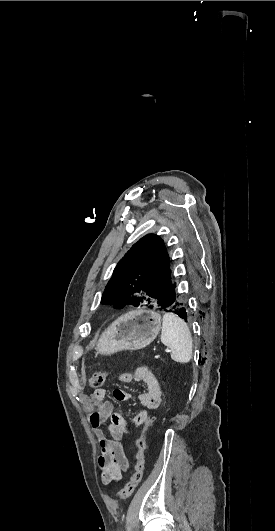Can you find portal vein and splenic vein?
<instances>
[{
    "mask_svg": "<svg viewBox=\"0 0 275 531\" xmlns=\"http://www.w3.org/2000/svg\"><path fill=\"white\" fill-rule=\"evenodd\" d=\"M165 353H171V350H169V348H165Z\"/></svg>",
    "mask_w": 275,
    "mask_h": 531,
    "instance_id": "18ae733b",
    "label": "portal vein and splenic vein"
}]
</instances>
